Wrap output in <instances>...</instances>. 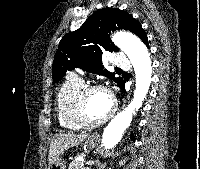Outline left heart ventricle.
Returning a JSON list of instances; mask_svg holds the SVG:
<instances>
[{"mask_svg":"<svg viewBox=\"0 0 200 169\" xmlns=\"http://www.w3.org/2000/svg\"><path fill=\"white\" fill-rule=\"evenodd\" d=\"M111 108V101L105 92H91L85 102L86 117L90 122H96L107 115Z\"/></svg>","mask_w":200,"mask_h":169,"instance_id":"1","label":"left heart ventricle"}]
</instances>
